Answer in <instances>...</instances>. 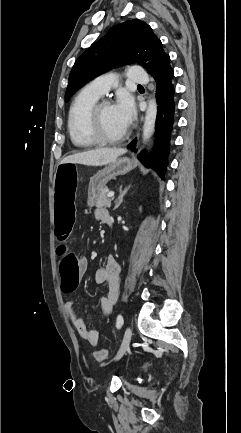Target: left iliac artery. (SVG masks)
I'll use <instances>...</instances> for the list:
<instances>
[{"label": "left iliac artery", "mask_w": 241, "mask_h": 433, "mask_svg": "<svg viewBox=\"0 0 241 433\" xmlns=\"http://www.w3.org/2000/svg\"><path fill=\"white\" fill-rule=\"evenodd\" d=\"M123 323H124L123 316H122L121 314H119V315L117 316V320H116V327H117L118 329H120V328L122 327Z\"/></svg>", "instance_id": "44dca946"}]
</instances>
